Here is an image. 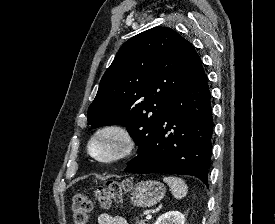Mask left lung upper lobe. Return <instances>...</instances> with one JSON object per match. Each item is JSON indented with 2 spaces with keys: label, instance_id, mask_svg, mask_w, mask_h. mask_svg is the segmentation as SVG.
I'll return each mask as SVG.
<instances>
[{
  "label": "left lung upper lobe",
  "instance_id": "obj_1",
  "mask_svg": "<svg viewBox=\"0 0 275 224\" xmlns=\"http://www.w3.org/2000/svg\"><path fill=\"white\" fill-rule=\"evenodd\" d=\"M202 67L193 46L173 29L154 27L119 49L88 109V124L127 127L144 147L190 75Z\"/></svg>",
  "mask_w": 275,
  "mask_h": 224
}]
</instances>
